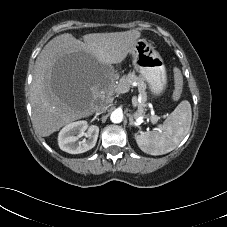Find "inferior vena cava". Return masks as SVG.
<instances>
[{
  "label": "inferior vena cava",
  "mask_w": 227,
  "mask_h": 227,
  "mask_svg": "<svg viewBox=\"0 0 227 227\" xmlns=\"http://www.w3.org/2000/svg\"><path fill=\"white\" fill-rule=\"evenodd\" d=\"M94 110L96 114L104 113L107 110V105L105 103L95 104Z\"/></svg>",
  "instance_id": "inferior-vena-cava-1"
}]
</instances>
